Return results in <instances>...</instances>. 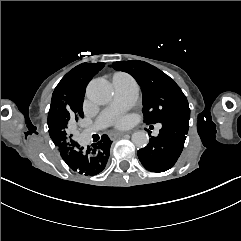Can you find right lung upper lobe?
I'll list each match as a JSON object with an SVG mask.
<instances>
[{"label": "right lung upper lobe", "mask_w": 241, "mask_h": 241, "mask_svg": "<svg viewBox=\"0 0 241 241\" xmlns=\"http://www.w3.org/2000/svg\"><path fill=\"white\" fill-rule=\"evenodd\" d=\"M49 135L57 147H61L72 142V135L68 131V126L59 119L48 116Z\"/></svg>", "instance_id": "right-lung-upper-lobe-1"}]
</instances>
